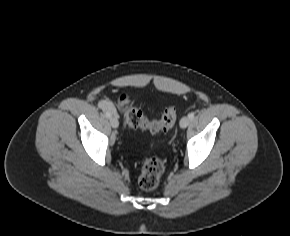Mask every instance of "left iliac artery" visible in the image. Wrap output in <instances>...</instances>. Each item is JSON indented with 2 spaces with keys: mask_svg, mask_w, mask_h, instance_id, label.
I'll list each match as a JSON object with an SVG mask.
<instances>
[{
  "mask_svg": "<svg viewBox=\"0 0 290 236\" xmlns=\"http://www.w3.org/2000/svg\"><path fill=\"white\" fill-rule=\"evenodd\" d=\"M194 116H195V114L193 112H191V113L188 114L189 119H193Z\"/></svg>",
  "mask_w": 290,
  "mask_h": 236,
  "instance_id": "left-iliac-artery-1",
  "label": "left iliac artery"
}]
</instances>
